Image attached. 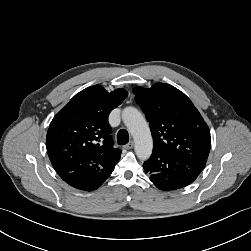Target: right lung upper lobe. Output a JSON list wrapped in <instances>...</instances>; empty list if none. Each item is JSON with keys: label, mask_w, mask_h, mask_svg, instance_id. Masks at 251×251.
<instances>
[{"label": "right lung upper lobe", "mask_w": 251, "mask_h": 251, "mask_svg": "<svg viewBox=\"0 0 251 251\" xmlns=\"http://www.w3.org/2000/svg\"><path fill=\"white\" fill-rule=\"evenodd\" d=\"M124 89L111 93L94 85L76 94L53 118L46 137L49 158L65 152L67 164L97 163L111 173L121 157L113 148L109 113L127 97ZM66 173L74 168H66Z\"/></svg>", "instance_id": "cb5924a9"}]
</instances>
